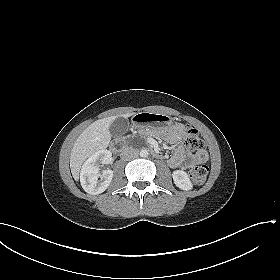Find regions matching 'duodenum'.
Segmentation results:
<instances>
[{
    "mask_svg": "<svg viewBox=\"0 0 280 280\" xmlns=\"http://www.w3.org/2000/svg\"><path fill=\"white\" fill-rule=\"evenodd\" d=\"M124 149H125V145L121 141H116L112 145L113 151H120V150H124ZM154 156L159 157V154L155 153Z\"/></svg>",
    "mask_w": 280,
    "mask_h": 280,
    "instance_id": "obj_1",
    "label": "duodenum"
}]
</instances>
